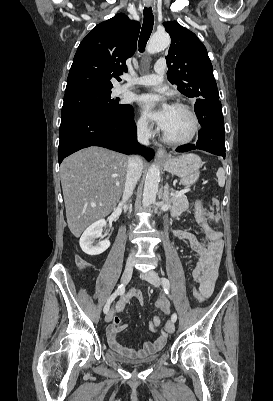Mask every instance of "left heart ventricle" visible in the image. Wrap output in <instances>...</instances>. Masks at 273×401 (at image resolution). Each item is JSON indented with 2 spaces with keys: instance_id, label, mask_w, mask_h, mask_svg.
I'll use <instances>...</instances> for the list:
<instances>
[{
  "instance_id": "left-heart-ventricle-1",
  "label": "left heart ventricle",
  "mask_w": 273,
  "mask_h": 401,
  "mask_svg": "<svg viewBox=\"0 0 273 401\" xmlns=\"http://www.w3.org/2000/svg\"><path fill=\"white\" fill-rule=\"evenodd\" d=\"M163 130L173 138H186L193 130V122L188 114L173 107Z\"/></svg>"
}]
</instances>
